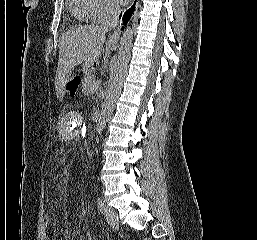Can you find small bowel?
<instances>
[{
  "instance_id": "1",
  "label": "small bowel",
  "mask_w": 257,
  "mask_h": 240,
  "mask_svg": "<svg viewBox=\"0 0 257 240\" xmlns=\"http://www.w3.org/2000/svg\"><path fill=\"white\" fill-rule=\"evenodd\" d=\"M78 237V234L70 229L68 226H65L61 231V240H75ZM58 240V239H52Z\"/></svg>"
}]
</instances>
